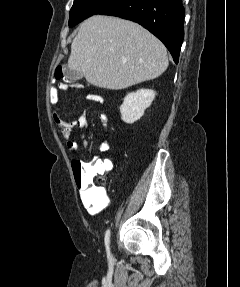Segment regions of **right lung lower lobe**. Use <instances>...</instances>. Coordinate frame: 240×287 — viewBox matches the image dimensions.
<instances>
[{
  "instance_id": "right-lung-lower-lobe-1",
  "label": "right lung lower lobe",
  "mask_w": 240,
  "mask_h": 287,
  "mask_svg": "<svg viewBox=\"0 0 240 287\" xmlns=\"http://www.w3.org/2000/svg\"><path fill=\"white\" fill-rule=\"evenodd\" d=\"M95 14L137 22L159 38L178 63L184 38L181 0H107Z\"/></svg>"
}]
</instances>
